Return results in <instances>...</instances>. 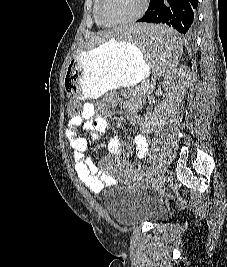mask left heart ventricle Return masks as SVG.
Here are the masks:
<instances>
[{"mask_svg":"<svg viewBox=\"0 0 227 267\" xmlns=\"http://www.w3.org/2000/svg\"><path fill=\"white\" fill-rule=\"evenodd\" d=\"M142 0H104V14L111 21L127 19L137 13Z\"/></svg>","mask_w":227,"mask_h":267,"instance_id":"left-heart-ventricle-1","label":"left heart ventricle"}]
</instances>
